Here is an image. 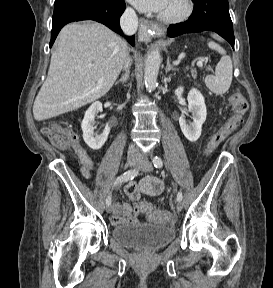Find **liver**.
<instances>
[{
	"label": "liver",
	"mask_w": 273,
	"mask_h": 288,
	"mask_svg": "<svg viewBox=\"0 0 273 288\" xmlns=\"http://www.w3.org/2000/svg\"><path fill=\"white\" fill-rule=\"evenodd\" d=\"M126 53V43L100 23L63 27L34 101L35 120L59 116L104 96L120 74Z\"/></svg>",
	"instance_id": "obj_1"
}]
</instances>
